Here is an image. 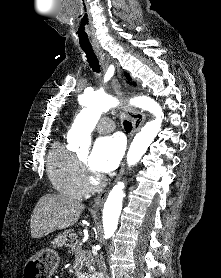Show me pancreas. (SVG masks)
Instances as JSON below:
<instances>
[{"instance_id":"cf45deb5","label":"pancreas","mask_w":221,"mask_h":278,"mask_svg":"<svg viewBox=\"0 0 221 278\" xmlns=\"http://www.w3.org/2000/svg\"><path fill=\"white\" fill-rule=\"evenodd\" d=\"M69 238V239H68ZM76 236L72 233L65 232L62 235L57 236L53 241V247H62L63 245L69 248V253H75L76 256L82 259L87 268H91L93 264V257L90 252L82 250L81 246L74 241ZM69 242V243H67Z\"/></svg>"}]
</instances>
